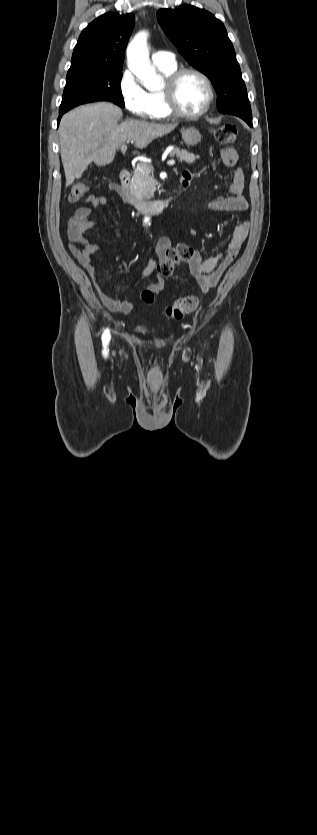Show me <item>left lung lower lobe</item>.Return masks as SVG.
<instances>
[{"label":"left lung lower lobe","mask_w":317,"mask_h":835,"mask_svg":"<svg viewBox=\"0 0 317 835\" xmlns=\"http://www.w3.org/2000/svg\"><path fill=\"white\" fill-rule=\"evenodd\" d=\"M240 118H242L244 121H246L248 123L249 126L252 127V118H249V117H240Z\"/></svg>","instance_id":"obj_1"}]
</instances>
